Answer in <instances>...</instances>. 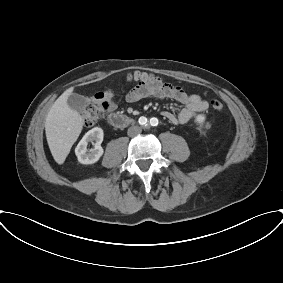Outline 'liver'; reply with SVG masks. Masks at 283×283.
Wrapping results in <instances>:
<instances>
[{"mask_svg":"<svg viewBox=\"0 0 283 283\" xmlns=\"http://www.w3.org/2000/svg\"><path fill=\"white\" fill-rule=\"evenodd\" d=\"M73 87L67 89L52 105L45 119V133L54 160L63 164L83 128L81 115L71 109L67 99Z\"/></svg>","mask_w":283,"mask_h":283,"instance_id":"liver-1","label":"liver"}]
</instances>
